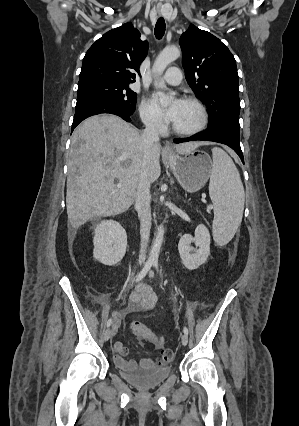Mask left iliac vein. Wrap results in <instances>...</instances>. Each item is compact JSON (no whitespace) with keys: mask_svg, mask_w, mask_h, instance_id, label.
Wrapping results in <instances>:
<instances>
[{"mask_svg":"<svg viewBox=\"0 0 299 426\" xmlns=\"http://www.w3.org/2000/svg\"><path fill=\"white\" fill-rule=\"evenodd\" d=\"M181 342H182V344L184 345V346H186L187 344H188V336H187V334H183L182 336H181Z\"/></svg>","mask_w":299,"mask_h":426,"instance_id":"4c4485c4","label":"left iliac vein"}]
</instances>
